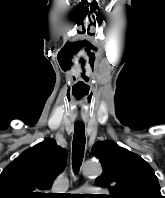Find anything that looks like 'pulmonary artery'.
Listing matches in <instances>:
<instances>
[{
  "label": "pulmonary artery",
  "mask_w": 165,
  "mask_h": 198,
  "mask_svg": "<svg viewBox=\"0 0 165 198\" xmlns=\"http://www.w3.org/2000/svg\"><path fill=\"white\" fill-rule=\"evenodd\" d=\"M96 188L93 187V186H82L80 188V191L84 192V193H88L89 191H93L95 190Z\"/></svg>",
  "instance_id": "obj_1"
}]
</instances>
